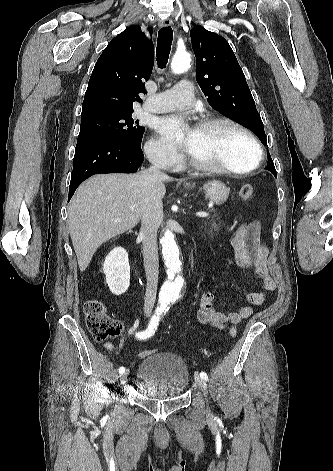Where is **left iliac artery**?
Wrapping results in <instances>:
<instances>
[{"label":"left iliac artery","instance_id":"left-iliac-artery-1","mask_svg":"<svg viewBox=\"0 0 333 471\" xmlns=\"http://www.w3.org/2000/svg\"><path fill=\"white\" fill-rule=\"evenodd\" d=\"M200 377H201L203 380H205V381L208 380V375H207L205 372H201V373H200Z\"/></svg>","mask_w":333,"mask_h":471}]
</instances>
